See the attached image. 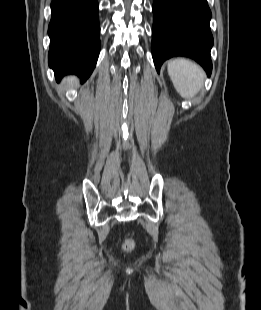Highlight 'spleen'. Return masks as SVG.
Masks as SVG:
<instances>
[{
	"instance_id": "spleen-1",
	"label": "spleen",
	"mask_w": 261,
	"mask_h": 310,
	"mask_svg": "<svg viewBox=\"0 0 261 310\" xmlns=\"http://www.w3.org/2000/svg\"><path fill=\"white\" fill-rule=\"evenodd\" d=\"M167 69L176 91L183 98H193L203 87L205 73L195 62L176 58L168 62Z\"/></svg>"
}]
</instances>
